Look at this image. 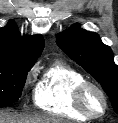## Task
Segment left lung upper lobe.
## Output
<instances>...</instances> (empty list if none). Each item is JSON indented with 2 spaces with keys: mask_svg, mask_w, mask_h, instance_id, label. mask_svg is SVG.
Returning a JSON list of instances; mask_svg holds the SVG:
<instances>
[{
  "mask_svg": "<svg viewBox=\"0 0 118 123\" xmlns=\"http://www.w3.org/2000/svg\"><path fill=\"white\" fill-rule=\"evenodd\" d=\"M79 26L74 24L67 31L58 34L56 43L101 84L118 114V66L114 63L113 52L96 33Z\"/></svg>",
  "mask_w": 118,
  "mask_h": 123,
  "instance_id": "obj_1",
  "label": "left lung upper lobe"
}]
</instances>
